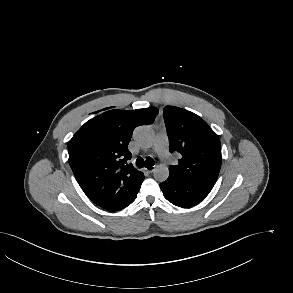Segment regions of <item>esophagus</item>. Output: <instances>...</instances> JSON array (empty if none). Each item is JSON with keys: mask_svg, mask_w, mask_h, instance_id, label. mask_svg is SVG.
Returning <instances> with one entry per match:
<instances>
[{"mask_svg": "<svg viewBox=\"0 0 293 293\" xmlns=\"http://www.w3.org/2000/svg\"><path fill=\"white\" fill-rule=\"evenodd\" d=\"M145 170H146L148 173H152V172H154V170H155V166H147V167H145Z\"/></svg>", "mask_w": 293, "mask_h": 293, "instance_id": "1", "label": "esophagus"}]
</instances>
